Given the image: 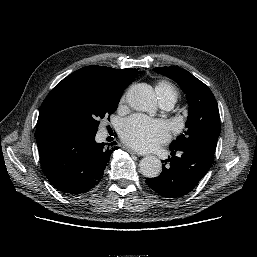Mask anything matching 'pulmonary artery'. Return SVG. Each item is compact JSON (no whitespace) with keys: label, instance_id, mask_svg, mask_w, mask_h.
I'll return each mask as SVG.
<instances>
[{"label":"pulmonary artery","instance_id":"pulmonary-artery-1","mask_svg":"<svg viewBox=\"0 0 257 257\" xmlns=\"http://www.w3.org/2000/svg\"><path fill=\"white\" fill-rule=\"evenodd\" d=\"M174 101L171 99H164L160 101V106L164 109V110H170L173 106H174Z\"/></svg>","mask_w":257,"mask_h":257}]
</instances>
